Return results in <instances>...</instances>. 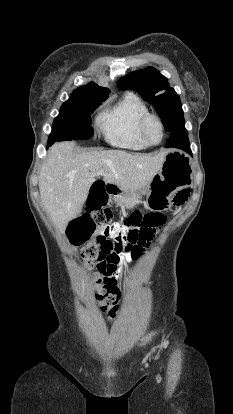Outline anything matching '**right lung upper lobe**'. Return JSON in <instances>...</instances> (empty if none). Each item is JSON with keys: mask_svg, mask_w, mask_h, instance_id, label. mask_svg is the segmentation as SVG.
Returning a JSON list of instances; mask_svg holds the SVG:
<instances>
[{"mask_svg": "<svg viewBox=\"0 0 233 414\" xmlns=\"http://www.w3.org/2000/svg\"><path fill=\"white\" fill-rule=\"evenodd\" d=\"M75 93L85 94L90 96L91 98L104 101L108 97L110 90L105 87H99L95 83L88 84L87 86H82L81 88L74 91Z\"/></svg>", "mask_w": 233, "mask_h": 414, "instance_id": "1", "label": "right lung upper lobe"}]
</instances>
